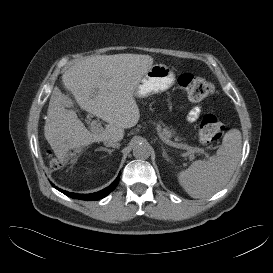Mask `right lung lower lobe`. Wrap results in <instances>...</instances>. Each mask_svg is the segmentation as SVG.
Wrapping results in <instances>:
<instances>
[{
	"label": "right lung lower lobe",
	"instance_id": "obj_1",
	"mask_svg": "<svg viewBox=\"0 0 273 273\" xmlns=\"http://www.w3.org/2000/svg\"><path fill=\"white\" fill-rule=\"evenodd\" d=\"M119 181V176L114 180V182L108 186L107 188L98 191L96 193H91V194H77V193H72V192H68L65 190H61L59 188H57L59 191H61L62 193H64L65 195L75 198V199H80V200H88V201H93V200H99L104 198L105 196H107L111 191L114 190V188L117 186ZM54 186V185H53Z\"/></svg>",
	"mask_w": 273,
	"mask_h": 273
}]
</instances>
